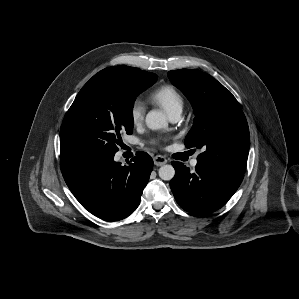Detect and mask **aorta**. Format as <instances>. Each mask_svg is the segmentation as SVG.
<instances>
[{
	"mask_svg": "<svg viewBox=\"0 0 299 299\" xmlns=\"http://www.w3.org/2000/svg\"><path fill=\"white\" fill-rule=\"evenodd\" d=\"M145 122L147 127L152 130H159L168 126L166 115L158 110L148 112ZM158 174L162 180L169 181L174 177L175 169L172 165H163L159 168Z\"/></svg>",
	"mask_w": 299,
	"mask_h": 299,
	"instance_id": "aorta-1",
	"label": "aorta"
}]
</instances>
